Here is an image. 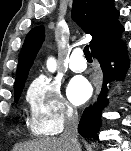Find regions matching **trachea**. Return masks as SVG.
Masks as SVG:
<instances>
[{
  "mask_svg": "<svg viewBox=\"0 0 131 151\" xmlns=\"http://www.w3.org/2000/svg\"><path fill=\"white\" fill-rule=\"evenodd\" d=\"M84 55L87 60H92L88 45L84 48Z\"/></svg>",
  "mask_w": 131,
  "mask_h": 151,
  "instance_id": "trachea-1",
  "label": "trachea"
}]
</instances>
